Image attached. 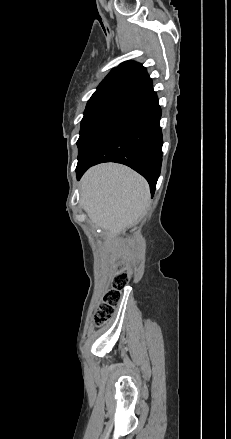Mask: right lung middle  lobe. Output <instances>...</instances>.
<instances>
[{"label":"right lung middle lobe","instance_id":"dd1d6c3e","mask_svg":"<svg viewBox=\"0 0 231 439\" xmlns=\"http://www.w3.org/2000/svg\"><path fill=\"white\" fill-rule=\"evenodd\" d=\"M142 114L135 96H117L88 102L81 121L78 160L108 131Z\"/></svg>","mask_w":231,"mask_h":439}]
</instances>
